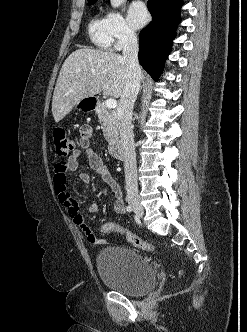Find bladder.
<instances>
[{"instance_id":"31cf9c89","label":"bladder","mask_w":247,"mask_h":332,"mask_svg":"<svg viewBox=\"0 0 247 332\" xmlns=\"http://www.w3.org/2000/svg\"><path fill=\"white\" fill-rule=\"evenodd\" d=\"M96 268L105 286L127 296L146 294L156 283V272L150 261L126 246L100 250L96 257Z\"/></svg>"}]
</instances>
